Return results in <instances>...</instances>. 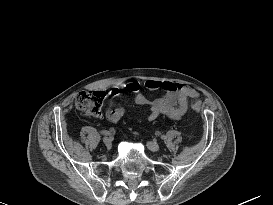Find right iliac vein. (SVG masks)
I'll use <instances>...</instances> for the list:
<instances>
[{"label": "right iliac vein", "mask_w": 273, "mask_h": 205, "mask_svg": "<svg viewBox=\"0 0 273 205\" xmlns=\"http://www.w3.org/2000/svg\"><path fill=\"white\" fill-rule=\"evenodd\" d=\"M103 143L107 146L110 147L112 145V139L109 137H104L103 138Z\"/></svg>", "instance_id": "right-iliac-vein-1"}]
</instances>
